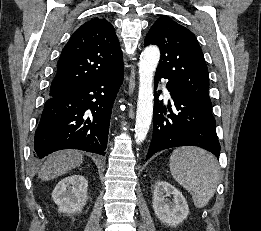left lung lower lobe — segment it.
Segmentation results:
<instances>
[{
  "label": "left lung lower lobe",
  "mask_w": 261,
  "mask_h": 231,
  "mask_svg": "<svg viewBox=\"0 0 261 231\" xmlns=\"http://www.w3.org/2000/svg\"><path fill=\"white\" fill-rule=\"evenodd\" d=\"M161 78L165 77L156 73L155 88ZM166 87L174 101L176 113L168 106L171 114L165 115L163 101H159V94L155 93L154 129L146 160L158 151L178 146L201 147L219 158L220 145L212 109L186 99L170 82Z\"/></svg>",
  "instance_id": "1"
}]
</instances>
